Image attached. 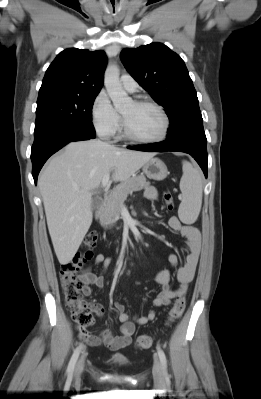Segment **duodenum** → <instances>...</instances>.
Returning a JSON list of instances; mask_svg holds the SVG:
<instances>
[{
	"mask_svg": "<svg viewBox=\"0 0 261 399\" xmlns=\"http://www.w3.org/2000/svg\"><path fill=\"white\" fill-rule=\"evenodd\" d=\"M108 201H109V197H108V196H104L102 205H101L100 209L98 210V214L101 213L102 208H103L105 205H107Z\"/></svg>",
	"mask_w": 261,
	"mask_h": 399,
	"instance_id": "duodenum-1",
	"label": "duodenum"
}]
</instances>
